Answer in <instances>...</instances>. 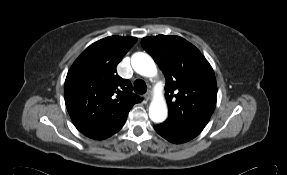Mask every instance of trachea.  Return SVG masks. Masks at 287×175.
<instances>
[{
  "mask_svg": "<svg viewBox=\"0 0 287 175\" xmlns=\"http://www.w3.org/2000/svg\"><path fill=\"white\" fill-rule=\"evenodd\" d=\"M134 91L137 94H144L147 91L145 82L141 79H137L134 82Z\"/></svg>",
  "mask_w": 287,
  "mask_h": 175,
  "instance_id": "3493384b",
  "label": "trachea"
}]
</instances>
